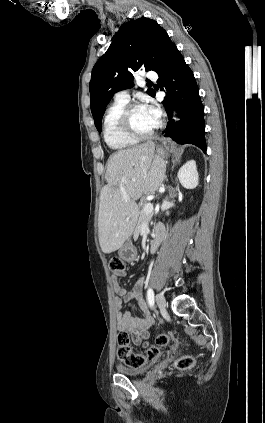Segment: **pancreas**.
<instances>
[{
	"label": "pancreas",
	"instance_id": "cf45deb5",
	"mask_svg": "<svg viewBox=\"0 0 265 423\" xmlns=\"http://www.w3.org/2000/svg\"><path fill=\"white\" fill-rule=\"evenodd\" d=\"M146 203H147V201L143 200L139 205L141 207V211L139 213V218H138L137 225H136V228H135V231H134V234L137 235V236H139V234L141 233L142 224L143 223H149L151 218H152V214H147L144 211V206H145Z\"/></svg>",
	"mask_w": 265,
	"mask_h": 423
}]
</instances>
